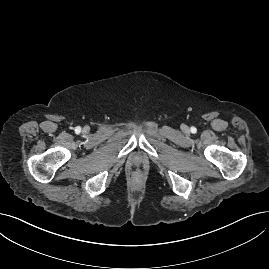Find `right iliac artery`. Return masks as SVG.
I'll use <instances>...</instances> for the list:
<instances>
[{"instance_id":"obj_1","label":"right iliac artery","mask_w":269,"mask_h":269,"mask_svg":"<svg viewBox=\"0 0 269 269\" xmlns=\"http://www.w3.org/2000/svg\"><path fill=\"white\" fill-rule=\"evenodd\" d=\"M75 131H76V133H80V131H81V127L77 126V127L75 128Z\"/></svg>"}]
</instances>
